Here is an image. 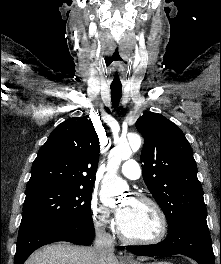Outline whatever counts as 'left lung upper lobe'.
<instances>
[{"instance_id":"5c2ea615","label":"left lung upper lobe","mask_w":221,"mask_h":264,"mask_svg":"<svg viewBox=\"0 0 221 264\" xmlns=\"http://www.w3.org/2000/svg\"><path fill=\"white\" fill-rule=\"evenodd\" d=\"M136 128L144 137L140 157L143 179L166 215L168 226L205 223L203 189L183 132L158 113L141 116Z\"/></svg>"}]
</instances>
